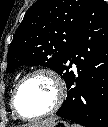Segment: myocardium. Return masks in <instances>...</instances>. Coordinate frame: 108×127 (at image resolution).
I'll return each instance as SVG.
<instances>
[{"instance_id":"obj_1","label":"myocardium","mask_w":108,"mask_h":127,"mask_svg":"<svg viewBox=\"0 0 108 127\" xmlns=\"http://www.w3.org/2000/svg\"><path fill=\"white\" fill-rule=\"evenodd\" d=\"M36 75H45L47 76L54 84L55 90H56V97L54 104L52 107L47 110L46 112L37 115V116H24L23 114L20 113V111L17 108L16 105V98L17 94L21 88V86L24 84L25 81H27L29 78L36 76ZM65 94H66V89H65V84L62 80V78L53 70L48 69V68H38L34 69L28 73H26L16 84L12 96H11V107L13 109V112L16 116H18L20 119L26 120V121H33V120H38L42 119L44 117H47L49 115H52L55 113L62 105L64 99H65Z\"/></svg>"}]
</instances>
